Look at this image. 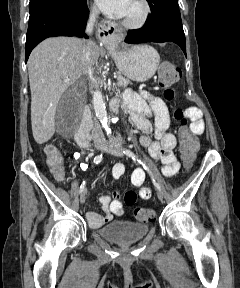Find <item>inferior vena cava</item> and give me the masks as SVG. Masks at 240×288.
Segmentation results:
<instances>
[{
    "instance_id": "1",
    "label": "inferior vena cava",
    "mask_w": 240,
    "mask_h": 288,
    "mask_svg": "<svg viewBox=\"0 0 240 288\" xmlns=\"http://www.w3.org/2000/svg\"><path fill=\"white\" fill-rule=\"evenodd\" d=\"M99 14L98 9L94 8L90 12V16L86 26V33L90 35L93 32V27L96 22V18ZM95 46V43L92 40H88L84 43L83 52H82V65L84 69V74L88 75L92 71V61H91V49ZM83 125H88L92 128V137L94 141L103 140L104 135L102 129L98 123L93 124L91 117L83 120Z\"/></svg>"
}]
</instances>
